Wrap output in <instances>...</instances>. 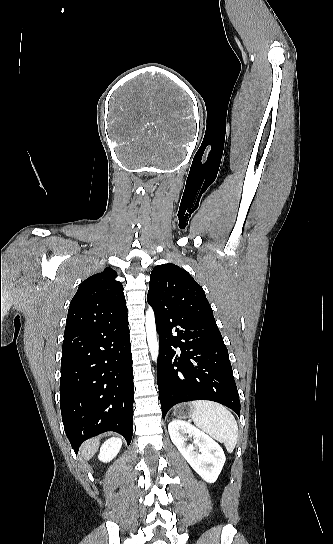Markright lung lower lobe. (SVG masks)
I'll use <instances>...</instances> for the list:
<instances>
[{
	"label": "right lung lower lobe",
	"instance_id": "right-lung-lower-lobe-1",
	"mask_svg": "<svg viewBox=\"0 0 333 544\" xmlns=\"http://www.w3.org/2000/svg\"><path fill=\"white\" fill-rule=\"evenodd\" d=\"M128 314L65 335L60 408L75 453L83 441L115 431L130 443L134 383Z\"/></svg>",
	"mask_w": 333,
	"mask_h": 544
}]
</instances>
